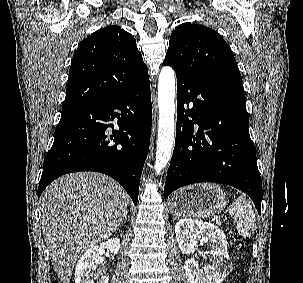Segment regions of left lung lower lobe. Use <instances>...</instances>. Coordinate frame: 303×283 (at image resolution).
<instances>
[{"instance_id":"0a47b994","label":"left lung lower lobe","mask_w":303,"mask_h":283,"mask_svg":"<svg viewBox=\"0 0 303 283\" xmlns=\"http://www.w3.org/2000/svg\"><path fill=\"white\" fill-rule=\"evenodd\" d=\"M176 75V139L164 198L182 186L216 182L245 192L260 214L262 182L242 84L222 76Z\"/></svg>"}]
</instances>
